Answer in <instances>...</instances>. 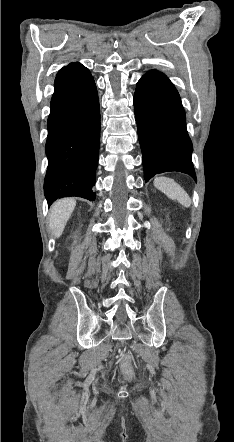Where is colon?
<instances>
[{
	"mask_svg": "<svg viewBox=\"0 0 234 442\" xmlns=\"http://www.w3.org/2000/svg\"><path fill=\"white\" fill-rule=\"evenodd\" d=\"M121 369L125 377L131 378L134 375L132 367V355L130 353L123 356L121 360Z\"/></svg>",
	"mask_w": 234,
	"mask_h": 442,
	"instance_id": "1",
	"label": "colon"
}]
</instances>
